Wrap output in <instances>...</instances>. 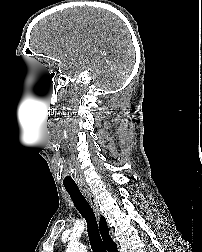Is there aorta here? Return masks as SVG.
<instances>
[{
    "mask_svg": "<svg viewBox=\"0 0 202 252\" xmlns=\"http://www.w3.org/2000/svg\"><path fill=\"white\" fill-rule=\"evenodd\" d=\"M66 252H87L85 247L79 244H69Z\"/></svg>",
    "mask_w": 202,
    "mask_h": 252,
    "instance_id": "762f6f07",
    "label": "aorta"
}]
</instances>
